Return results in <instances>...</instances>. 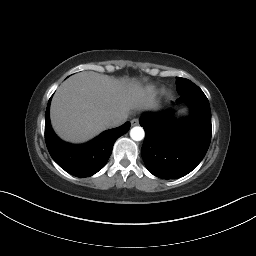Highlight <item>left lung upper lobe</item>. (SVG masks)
Listing matches in <instances>:
<instances>
[{
    "mask_svg": "<svg viewBox=\"0 0 256 256\" xmlns=\"http://www.w3.org/2000/svg\"><path fill=\"white\" fill-rule=\"evenodd\" d=\"M194 87H198V86L195 85L190 80L181 78V77L176 78V89H177L178 93L184 94Z\"/></svg>",
    "mask_w": 256,
    "mask_h": 256,
    "instance_id": "5c2ea615",
    "label": "left lung upper lobe"
}]
</instances>
